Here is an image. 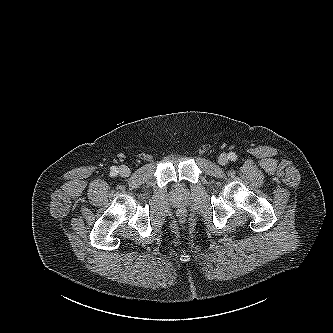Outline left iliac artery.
<instances>
[{
    "label": "left iliac artery",
    "mask_w": 333,
    "mask_h": 333,
    "mask_svg": "<svg viewBox=\"0 0 333 333\" xmlns=\"http://www.w3.org/2000/svg\"><path fill=\"white\" fill-rule=\"evenodd\" d=\"M229 159L232 161H235L237 159V156L235 155V153H230L229 154Z\"/></svg>",
    "instance_id": "1"
}]
</instances>
